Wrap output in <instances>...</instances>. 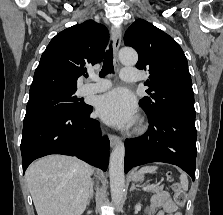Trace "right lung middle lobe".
<instances>
[{"label": "right lung middle lobe", "instance_id": "dd1d6c3e", "mask_svg": "<svg viewBox=\"0 0 223 215\" xmlns=\"http://www.w3.org/2000/svg\"><path fill=\"white\" fill-rule=\"evenodd\" d=\"M75 92L76 90L30 92L24 119L59 112L83 114L88 109V105L79 102V99L74 96Z\"/></svg>", "mask_w": 223, "mask_h": 215}]
</instances>
